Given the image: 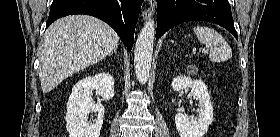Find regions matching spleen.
Masks as SVG:
<instances>
[{"mask_svg": "<svg viewBox=\"0 0 280 137\" xmlns=\"http://www.w3.org/2000/svg\"><path fill=\"white\" fill-rule=\"evenodd\" d=\"M193 31L200 43L210 47L209 58L211 61L224 62L231 59V47L215 29L207 26H195Z\"/></svg>", "mask_w": 280, "mask_h": 137, "instance_id": "spleen-1", "label": "spleen"}]
</instances>
